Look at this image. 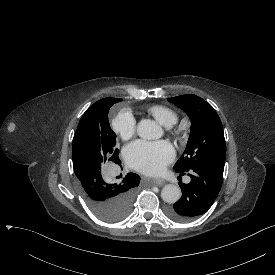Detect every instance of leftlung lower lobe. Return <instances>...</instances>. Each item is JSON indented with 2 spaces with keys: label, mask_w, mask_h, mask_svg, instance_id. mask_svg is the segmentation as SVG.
<instances>
[{
  "label": "left lung lower lobe",
  "mask_w": 275,
  "mask_h": 275,
  "mask_svg": "<svg viewBox=\"0 0 275 275\" xmlns=\"http://www.w3.org/2000/svg\"><path fill=\"white\" fill-rule=\"evenodd\" d=\"M178 173H188L191 181L188 184L179 183L182 197L173 207H168L167 215L175 221L185 222L205 214L210 209L221 189L223 169L203 166Z\"/></svg>",
  "instance_id": "0a47b994"
}]
</instances>
